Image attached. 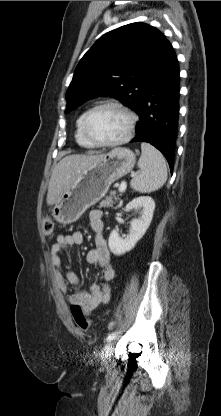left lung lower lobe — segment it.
<instances>
[{
	"mask_svg": "<svg viewBox=\"0 0 221 416\" xmlns=\"http://www.w3.org/2000/svg\"><path fill=\"white\" fill-rule=\"evenodd\" d=\"M179 66L167 41L138 108L139 122L131 142H148L167 159L173 171L179 115Z\"/></svg>",
	"mask_w": 221,
	"mask_h": 416,
	"instance_id": "0a47b994",
	"label": "left lung lower lobe"
}]
</instances>
